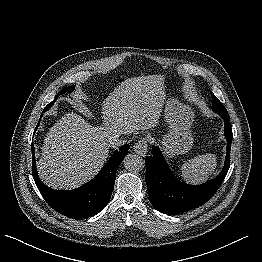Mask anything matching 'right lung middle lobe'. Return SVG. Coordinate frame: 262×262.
Listing matches in <instances>:
<instances>
[{
	"mask_svg": "<svg viewBox=\"0 0 262 262\" xmlns=\"http://www.w3.org/2000/svg\"><path fill=\"white\" fill-rule=\"evenodd\" d=\"M73 89H74L73 86H71V87L63 88L62 90H60V91L58 92L56 98H55L50 104H48L45 108H47V107L50 108V107L54 104V102L57 100L58 95L64 94V93H66V92H71ZM48 108H47V109H48Z\"/></svg>",
	"mask_w": 262,
	"mask_h": 262,
	"instance_id": "dd1d6c3e",
	"label": "right lung middle lobe"
}]
</instances>
